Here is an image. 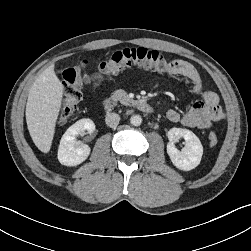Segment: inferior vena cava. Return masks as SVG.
<instances>
[{"label": "inferior vena cava", "mask_w": 251, "mask_h": 251, "mask_svg": "<svg viewBox=\"0 0 251 251\" xmlns=\"http://www.w3.org/2000/svg\"><path fill=\"white\" fill-rule=\"evenodd\" d=\"M120 116L117 113H108L105 122L109 127H116L119 124Z\"/></svg>", "instance_id": "602c4592"}]
</instances>
